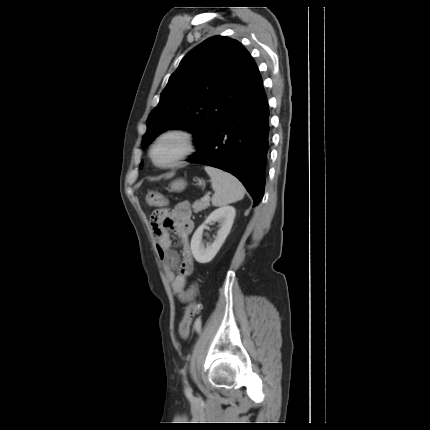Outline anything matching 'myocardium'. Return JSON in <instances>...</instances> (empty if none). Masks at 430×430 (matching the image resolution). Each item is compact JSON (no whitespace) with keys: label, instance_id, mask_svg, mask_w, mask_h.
I'll use <instances>...</instances> for the list:
<instances>
[{"label":"myocardium","instance_id":"f54148a6","mask_svg":"<svg viewBox=\"0 0 430 430\" xmlns=\"http://www.w3.org/2000/svg\"><path fill=\"white\" fill-rule=\"evenodd\" d=\"M171 137L178 138L181 141L182 148L179 153L173 156L170 160L166 162H160L157 158V150L164 140ZM194 151L195 142L193 135L184 129L171 128L163 131L154 138L149 146L148 155L155 166L160 168H171L190 157Z\"/></svg>","mask_w":430,"mask_h":430}]
</instances>
